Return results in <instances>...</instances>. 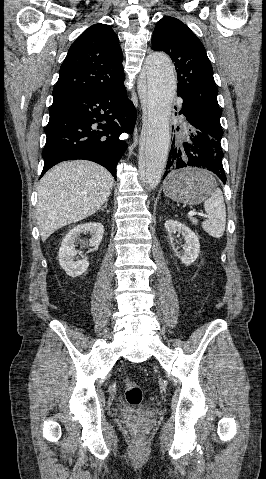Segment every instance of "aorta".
Segmentation results:
<instances>
[{"label":"aorta","instance_id":"762f6f07","mask_svg":"<svg viewBox=\"0 0 266 479\" xmlns=\"http://www.w3.org/2000/svg\"><path fill=\"white\" fill-rule=\"evenodd\" d=\"M171 60L163 53H152L145 60L139 80V94L146 107L145 177L150 190L159 184L170 145V115L176 93Z\"/></svg>","mask_w":266,"mask_h":479}]
</instances>
